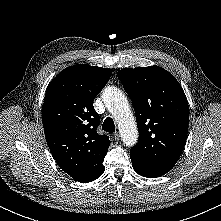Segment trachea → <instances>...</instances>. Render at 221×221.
<instances>
[{
    "label": "trachea",
    "instance_id": "3493384b",
    "mask_svg": "<svg viewBox=\"0 0 221 221\" xmlns=\"http://www.w3.org/2000/svg\"><path fill=\"white\" fill-rule=\"evenodd\" d=\"M102 130L112 133L115 131V124L111 117H107L102 125Z\"/></svg>",
    "mask_w": 221,
    "mask_h": 221
}]
</instances>
